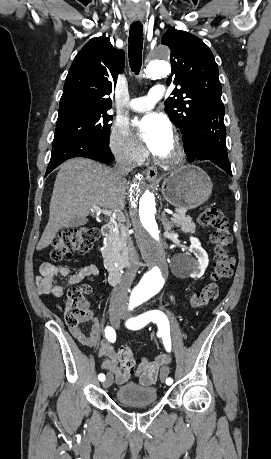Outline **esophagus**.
<instances>
[{
    "label": "esophagus",
    "instance_id": "1",
    "mask_svg": "<svg viewBox=\"0 0 271 459\" xmlns=\"http://www.w3.org/2000/svg\"><path fill=\"white\" fill-rule=\"evenodd\" d=\"M157 175H158V171L156 169V167H148L147 170H146V179L150 182V183H154L156 178H157Z\"/></svg>",
    "mask_w": 271,
    "mask_h": 459
}]
</instances>
